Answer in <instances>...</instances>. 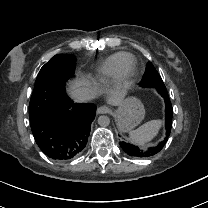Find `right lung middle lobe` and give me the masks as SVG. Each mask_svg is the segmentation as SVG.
I'll list each match as a JSON object with an SVG mask.
<instances>
[{
  "label": "right lung middle lobe",
  "mask_w": 208,
  "mask_h": 208,
  "mask_svg": "<svg viewBox=\"0 0 208 208\" xmlns=\"http://www.w3.org/2000/svg\"><path fill=\"white\" fill-rule=\"evenodd\" d=\"M57 61H61L62 62L61 67L59 68L60 77H61V79H63L62 85L65 84V82L68 80V78L73 76L74 70H75V61H76L75 57L73 55H71V54H57L54 57H52L41 68V70H40V72H39V74L37 76L36 83L38 81H40L41 76H43L44 68L45 69H50L51 68V64L55 63ZM36 83H35V85H36ZM29 112H30V117L34 116V113L30 109H29Z\"/></svg>",
  "instance_id": "obj_1"
}]
</instances>
